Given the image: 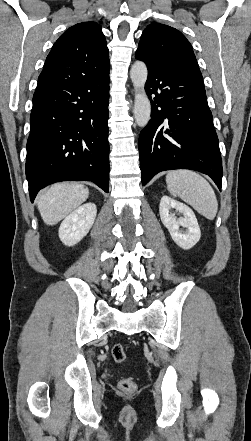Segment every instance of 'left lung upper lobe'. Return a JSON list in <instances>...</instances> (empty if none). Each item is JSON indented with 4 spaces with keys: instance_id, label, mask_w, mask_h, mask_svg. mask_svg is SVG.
Returning a JSON list of instances; mask_svg holds the SVG:
<instances>
[{
    "instance_id": "obj_1",
    "label": "left lung upper lobe",
    "mask_w": 251,
    "mask_h": 441,
    "mask_svg": "<svg viewBox=\"0 0 251 441\" xmlns=\"http://www.w3.org/2000/svg\"><path fill=\"white\" fill-rule=\"evenodd\" d=\"M136 58L147 65L183 71L202 78L192 46L177 29L151 23L142 33Z\"/></svg>"
}]
</instances>
